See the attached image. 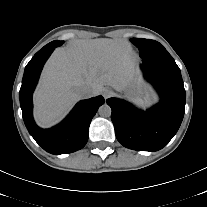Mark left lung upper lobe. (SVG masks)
<instances>
[{
	"mask_svg": "<svg viewBox=\"0 0 207 207\" xmlns=\"http://www.w3.org/2000/svg\"><path fill=\"white\" fill-rule=\"evenodd\" d=\"M131 42L139 49L141 58L169 56L168 51L157 41L132 38Z\"/></svg>",
	"mask_w": 207,
	"mask_h": 207,
	"instance_id": "1",
	"label": "left lung upper lobe"
}]
</instances>
